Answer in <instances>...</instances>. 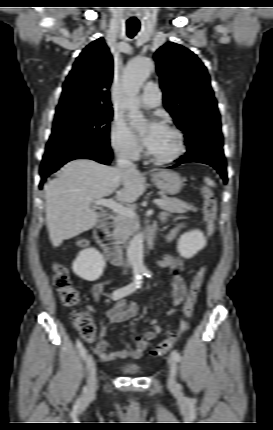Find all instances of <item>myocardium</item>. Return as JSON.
I'll return each instance as SVG.
<instances>
[{
  "label": "myocardium",
  "instance_id": "myocardium-1",
  "mask_svg": "<svg viewBox=\"0 0 273 430\" xmlns=\"http://www.w3.org/2000/svg\"><path fill=\"white\" fill-rule=\"evenodd\" d=\"M164 128L175 135L177 146L175 152L167 157H157L153 155L150 150L148 151L149 159L159 165L170 164L177 161L186 151V142L183 132L178 127L170 124H166Z\"/></svg>",
  "mask_w": 273,
  "mask_h": 430
}]
</instances>
